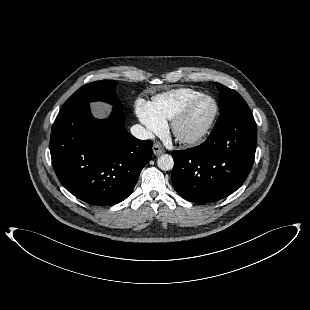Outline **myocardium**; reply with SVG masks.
<instances>
[{"label":"myocardium","instance_id":"1","mask_svg":"<svg viewBox=\"0 0 310 310\" xmlns=\"http://www.w3.org/2000/svg\"><path fill=\"white\" fill-rule=\"evenodd\" d=\"M202 100H210L213 104V111L211 115L209 116L206 123L202 126V128L197 131L196 133L192 135H184L181 132V125L186 120L187 116L189 115L191 109L200 101ZM219 107L217 101L205 94H201L192 100H190L179 112L178 114L172 119L171 122V132L174 136V138L181 144L187 145V146H195L200 144L210 133L216 119L218 116Z\"/></svg>","mask_w":310,"mask_h":310}]
</instances>
